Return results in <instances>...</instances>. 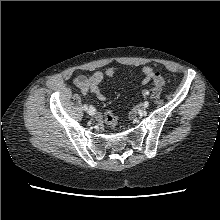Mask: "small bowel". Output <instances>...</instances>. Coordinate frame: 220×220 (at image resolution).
I'll return each instance as SVG.
<instances>
[{
  "label": "small bowel",
  "instance_id": "small-bowel-1",
  "mask_svg": "<svg viewBox=\"0 0 220 220\" xmlns=\"http://www.w3.org/2000/svg\"><path fill=\"white\" fill-rule=\"evenodd\" d=\"M116 74V70L113 67H109L105 72H94L92 75H80L74 79V84L83 94L95 95L100 101H105L106 97L100 90V84L104 77L112 78ZM142 84L146 85L153 83L156 85V79L163 78L162 75L155 71L152 67L144 66L142 68ZM98 120L102 121V117L98 115Z\"/></svg>",
  "mask_w": 220,
  "mask_h": 220
}]
</instances>
